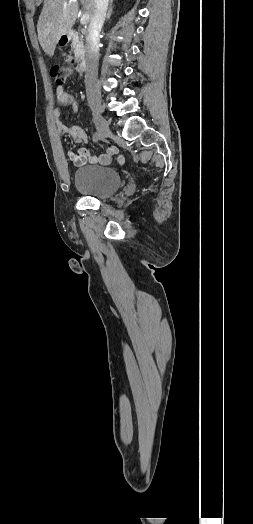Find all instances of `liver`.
<instances>
[{
  "mask_svg": "<svg viewBox=\"0 0 253 524\" xmlns=\"http://www.w3.org/2000/svg\"><path fill=\"white\" fill-rule=\"evenodd\" d=\"M85 13L93 14L94 0H81ZM76 0H44L37 24L38 40L44 52L53 56L56 44L67 34L78 15Z\"/></svg>",
  "mask_w": 253,
  "mask_h": 524,
  "instance_id": "obj_1",
  "label": "liver"
}]
</instances>
